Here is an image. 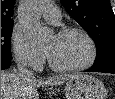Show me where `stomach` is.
<instances>
[{
    "label": "stomach",
    "instance_id": "0dacf381",
    "mask_svg": "<svg viewBox=\"0 0 115 99\" xmlns=\"http://www.w3.org/2000/svg\"><path fill=\"white\" fill-rule=\"evenodd\" d=\"M65 94L67 99H105L106 89L97 78L79 74L67 81Z\"/></svg>",
    "mask_w": 115,
    "mask_h": 99
}]
</instances>
